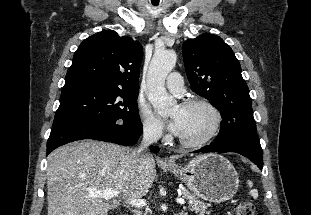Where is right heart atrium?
Listing matches in <instances>:
<instances>
[{
	"instance_id": "1",
	"label": "right heart atrium",
	"mask_w": 311,
	"mask_h": 215,
	"mask_svg": "<svg viewBox=\"0 0 311 215\" xmlns=\"http://www.w3.org/2000/svg\"><path fill=\"white\" fill-rule=\"evenodd\" d=\"M137 110L143 134L152 140L161 139L164 136L163 126L150 107L144 102H138Z\"/></svg>"
}]
</instances>
